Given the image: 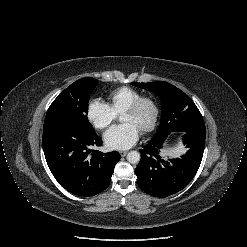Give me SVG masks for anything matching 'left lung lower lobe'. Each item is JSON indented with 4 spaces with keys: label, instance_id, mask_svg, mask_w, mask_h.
Masks as SVG:
<instances>
[{
    "label": "left lung lower lobe",
    "instance_id": "1",
    "mask_svg": "<svg viewBox=\"0 0 247 247\" xmlns=\"http://www.w3.org/2000/svg\"><path fill=\"white\" fill-rule=\"evenodd\" d=\"M166 138L151 139L143 146L139 150L141 159L135 169L139 187L159 198L179 192L194 178L203 157L206 132H184L182 142L188 150L178 159H167L160 155Z\"/></svg>",
    "mask_w": 247,
    "mask_h": 247
}]
</instances>
